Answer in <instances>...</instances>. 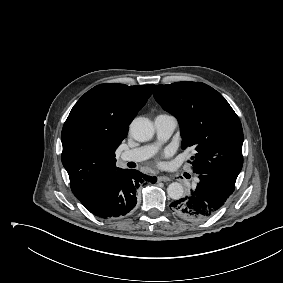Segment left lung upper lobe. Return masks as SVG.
<instances>
[{
  "mask_svg": "<svg viewBox=\"0 0 283 283\" xmlns=\"http://www.w3.org/2000/svg\"><path fill=\"white\" fill-rule=\"evenodd\" d=\"M153 95L179 121L182 149L197 151L192 157L194 172L235 183L243 165V130L226 99L201 82L157 85Z\"/></svg>",
  "mask_w": 283,
  "mask_h": 283,
  "instance_id": "1",
  "label": "left lung upper lobe"
}]
</instances>
